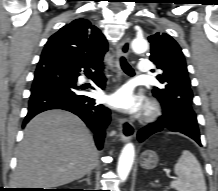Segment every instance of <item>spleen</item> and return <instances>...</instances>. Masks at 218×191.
Instances as JSON below:
<instances>
[{"label": "spleen", "mask_w": 218, "mask_h": 191, "mask_svg": "<svg viewBox=\"0 0 218 191\" xmlns=\"http://www.w3.org/2000/svg\"><path fill=\"white\" fill-rule=\"evenodd\" d=\"M177 179L170 186L177 191H206L205 178L196 157L187 150L182 152L174 166Z\"/></svg>", "instance_id": "3e777b00"}]
</instances>
